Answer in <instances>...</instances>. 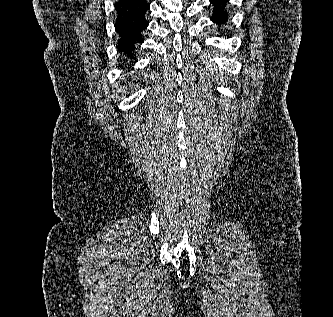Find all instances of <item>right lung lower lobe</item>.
Wrapping results in <instances>:
<instances>
[{"mask_svg": "<svg viewBox=\"0 0 333 317\" xmlns=\"http://www.w3.org/2000/svg\"><path fill=\"white\" fill-rule=\"evenodd\" d=\"M149 8L146 0H118L115 4V28L119 35L117 48L128 57L133 56L135 44L144 41L141 33L149 24L145 18Z\"/></svg>", "mask_w": 333, "mask_h": 317, "instance_id": "right-lung-lower-lobe-1", "label": "right lung lower lobe"}]
</instances>
